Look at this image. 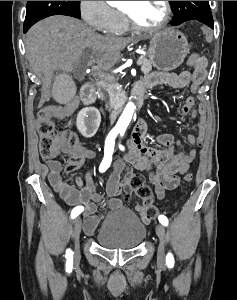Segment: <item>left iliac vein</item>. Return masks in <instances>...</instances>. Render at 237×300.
Instances as JSON below:
<instances>
[{
    "label": "left iliac vein",
    "mask_w": 237,
    "mask_h": 300,
    "mask_svg": "<svg viewBox=\"0 0 237 300\" xmlns=\"http://www.w3.org/2000/svg\"><path fill=\"white\" fill-rule=\"evenodd\" d=\"M156 234L160 240V245H159V249L157 252V263L160 267H164L165 266V250H164V241H165V228L163 225L158 224L156 226Z\"/></svg>",
    "instance_id": "1"
}]
</instances>
